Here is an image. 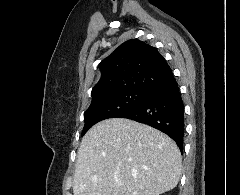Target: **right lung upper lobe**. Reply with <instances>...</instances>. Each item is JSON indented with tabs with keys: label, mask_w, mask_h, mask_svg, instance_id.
I'll return each instance as SVG.
<instances>
[{
	"label": "right lung upper lobe",
	"mask_w": 240,
	"mask_h": 195,
	"mask_svg": "<svg viewBox=\"0 0 240 195\" xmlns=\"http://www.w3.org/2000/svg\"><path fill=\"white\" fill-rule=\"evenodd\" d=\"M99 68L101 79L92 90V99L124 90L147 92L173 76L156 48L135 39L121 44Z\"/></svg>",
	"instance_id": "cb5924a9"
}]
</instances>
